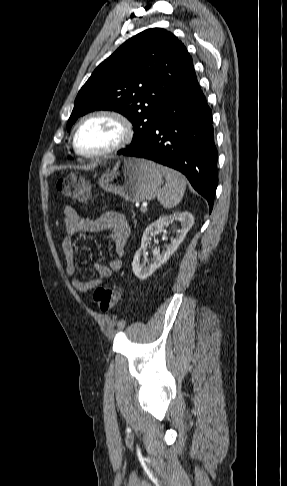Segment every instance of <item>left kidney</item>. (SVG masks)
I'll return each mask as SVG.
<instances>
[{"instance_id":"5707ae66","label":"left kidney","mask_w":287,"mask_h":486,"mask_svg":"<svg viewBox=\"0 0 287 486\" xmlns=\"http://www.w3.org/2000/svg\"><path fill=\"white\" fill-rule=\"evenodd\" d=\"M174 221L181 222L182 229H180L177 233L176 238L171 239V242L166 249H164L161 253L159 250H153V259L148 265H146V260H143L146 254V248L150 244V241L153 236L162 233L165 230V227ZM194 224V217L193 215L188 212H176L172 215H161L159 219L151 223L144 231L142 240H141V247L135 253L133 262H132V270L133 273L137 278L140 280H145L149 276L153 274V272L158 269L163 263H165L170 256L177 250L181 242L184 240L188 231L192 228Z\"/></svg>"}]
</instances>
